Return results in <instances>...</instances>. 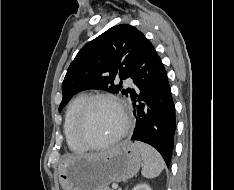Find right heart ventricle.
<instances>
[{
    "mask_svg": "<svg viewBox=\"0 0 234 190\" xmlns=\"http://www.w3.org/2000/svg\"><path fill=\"white\" fill-rule=\"evenodd\" d=\"M87 97L88 96L85 94H80L75 97L69 104L65 115L64 134L69 148L75 152H82L86 149L76 138L75 124L80 108Z\"/></svg>",
    "mask_w": 234,
    "mask_h": 190,
    "instance_id": "obj_1",
    "label": "right heart ventricle"
}]
</instances>
